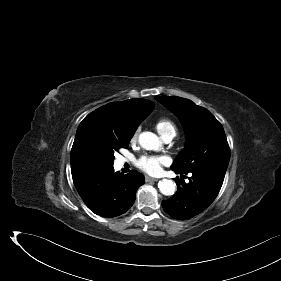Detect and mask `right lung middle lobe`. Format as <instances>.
<instances>
[{"label":"right lung middle lobe","mask_w":281,"mask_h":281,"mask_svg":"<svg viewBox=\"0 0 281 281\" xmlns=\"http://www.w3.org/2000/svg\"><path fill=\"white\" fill-rule=\"evenodd\" d=\"M131 137L125 138L119 141H114L108 150L107 158H106V166L112 167L113 166V161H114V151H118L120 148H128L129 142H130Z\"/></svg>","instance_id":"obj_1"}]
</instances>
